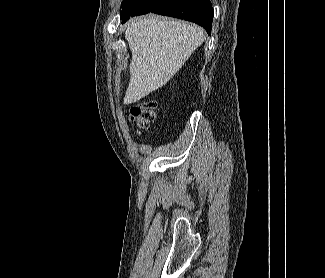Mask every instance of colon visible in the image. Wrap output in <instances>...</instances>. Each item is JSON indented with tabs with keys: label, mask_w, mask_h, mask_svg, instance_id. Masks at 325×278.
Returning <instances> with one entry per match:
<instances>
[{
	"label": "colon",
	"mask_w": 325,
	"mask_h": 278,
	"mask_svg": "<svg viewBox=\"0 0 325 278\" xmlns=\"http://www.w3.org/2000/svg\"><path fill=\"white\" fill-rule=\"evenodd\" d=\"M156 105V102L153 100L134 105L130 109V121L140 130L147 129L155 118Z\"/></svg>",
	"instance_id": "colon-1"
}]
</instances>
